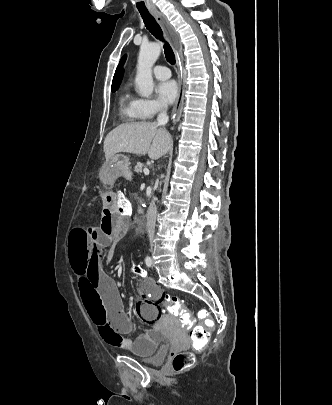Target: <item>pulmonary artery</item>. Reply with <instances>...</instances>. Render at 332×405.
<instances>
[{
    "label": "pulmonary artery",
    "mask_w": 332,
    "mask_h": 405,
    "mask_svg": "<svg viewBox=\"0 0 332 405\" xmlns=\"http://www.w3.org/2000/svg\"><path fill=\"white\" fill-rule=\"evenodd\" d=\"M153 74L157 79L165 80L171 76L170 70L165 66L157 65L153 68Z\"/></svg>",
    "instance_id": "pulmonary-artery-1"
}]
</instances>
